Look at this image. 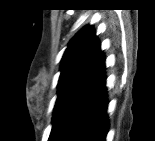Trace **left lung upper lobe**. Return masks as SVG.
I'll return each mask as SVG.
<instances>
[{"mask_svg":"<svg viewBox=\"0 0 155 141\" xmlns=\"http://www.w3.org/2000/svg\"><path fill=\"white\" fill-rule=\"evenodd\" d=\"M103 59L93 26L83 27L69 42L61 60L50 141L58 140L65 115L90 83Z\"/></svg>","mask_w":155,"mask_h":141,"instance_id":"obj_1","label":"left lung upper lobe"}]
</instances>
